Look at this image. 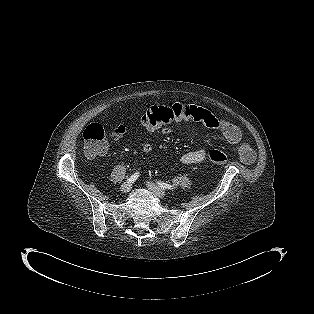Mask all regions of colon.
Returning <instances> with one entry per match:
<instances>
[{"label":"colon","instance_id":"1","mask_svg":"<svg viewBox=\"0 0 314 314\" xmlns=\"http://www.w3.org/2000/svg\"><path fill=\"white\" fill-rule=\"evenodd\" d=\"M122 129V125L115 127H108L99 123L88 125L82 135L85 154L88 157L104 155L108 149V135H116ZM208 158L213 164L221 165L227 162L226 154L216 149L209 151Z\"/></svg>","mask_w":314,"mask_h":314}]
</instances>
